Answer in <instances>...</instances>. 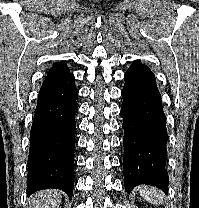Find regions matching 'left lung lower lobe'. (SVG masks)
<instances>
[{
    "mask_svg": "<svg viewBox=\"0 0 199 208\" xmlns=\"http://www.w3.org/2000/svg\"><path fill=\"white\" fill-rule=\"evenodd\" d=\"M124 184L128 192L139 184L154 185L167 192V129L155 76L140 60L124 75Z\"/></svg>",
    "mask_w": 199,
    "mask_h": 208,
    "instance_id": "obj_1",
    "label": "left lung lower lobe"
}]
</instances>
